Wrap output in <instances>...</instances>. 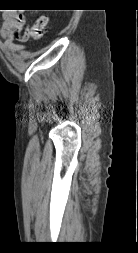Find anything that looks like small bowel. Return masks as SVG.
Segmentation results:
<instances>
[{"mask_svg":"<svg viewBox=\"0 0 138 253\" xmlns=\"http://www.w3.org/2000/svg\"><path fill=\"white\" fill-rule=\"evenodd\" d=\"M29 27L26 25L25 15L16 11H5L2 18L0 36L8 49L22 51L26 49L24 43L30 38ZM19 41L21 43H15Z\"/></svg>","mask_w":138,"mask_h":253,"instance_id":"c3829d8e","label":"small bowel"}]
</instances>
